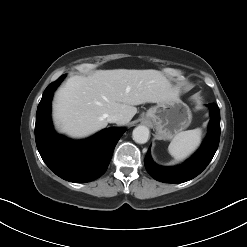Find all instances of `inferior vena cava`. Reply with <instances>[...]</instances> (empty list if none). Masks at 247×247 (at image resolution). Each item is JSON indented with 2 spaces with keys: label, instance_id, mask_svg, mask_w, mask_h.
<instances>
[{
  "label": "inferior vena cava",
  "instance_id": "obj_1",
  "mask_svg": "<svg viewBox=\"0 0 247 247\" xmlns=\"http://www.w3.org/2000/svg\"><path fill=\"white\" fill-rule=\"evenodd\" d=\"M107 121L110 123L124 124L126 122V118L121 113H114L107 117Z\"/></svg>",
  "mask_w": 247,
  "mask_h": 247
}]
</instances>
